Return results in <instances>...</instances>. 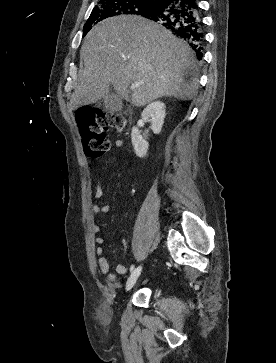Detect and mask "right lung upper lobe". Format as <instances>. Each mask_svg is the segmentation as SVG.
<instances>
[{"label": "right lung upper lobe", "instance_id": "1", "mask_svg": "<svg viewBox=\"0 0 276 363\" xmlns=\"http://www.w3.org/2000/svg\"><path fill=\"white\" fill-rule=\"evenodd\" d=\"M151 1H153L154 3H156L157 1H159V0H151Z\"/></svg>", "mask_w": 276, "mask_h": 363}]
</instances>
